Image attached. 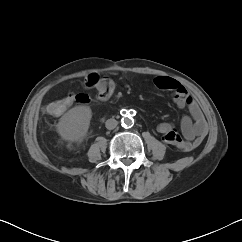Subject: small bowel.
I'll return each mask as SVG.
<instances>
[{"label": "small bowel", "mask_w": 242, "mask_h": 242, "mask_svg": "<svg viewBox=\"0 0 242 242\" xmlns=\"http://www.w3.org/2000/svg\"><path fill=\"white\" fill-rule=\"evenodd\" d=\"M92 78L97 80L95 83L97 90L108 88L111 93L113 92L114 82L106 77L99 78L96 74H89L85 79V85L89 84ZM154 85L158 89L172 92L175 104L179 108H187L190 114V117L184 116L181 120L182 135L175 130L172 123H159L157 131L162 135L163 141L182 151H190L196 148L207 134V123L197 102L180 82L171 77H157L154 80ZM67 99L70 107L75 98L68 96Z\"/></svg>", "instance_id": "1"}]
</instances>
